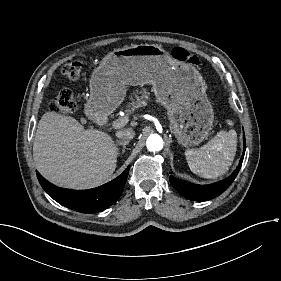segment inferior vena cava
<instances>
[{"instance_id":"inferior-vena-cava-1","label":"inferior vena cava","mask_w":281,"mask_h":281,"mask_svg":"<svg viewBox=\"0 0 281 281\" xmlns=\"http://www.w3.org/2000/svg\"><path fill=\"white\" fill-rule=\"evenodd\" d=\"M116 136L121 139H131L135 136V132L132 128H126V129L118 130L116 132Z\"/></svg>"}]
</instances>
